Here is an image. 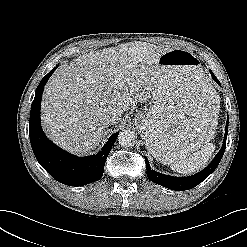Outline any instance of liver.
<instances>
[{"label":"liver","mask_w":247,"mask_h":247,"mask_svg":"<svg viewBox=\"0 0 247 247\" xmlns=\"http://www.w3.org/2000/svg\"><path fill=\"white\" fill-rule=\"evenodd\" d=\"M170 50L128 42L61 65L48 81L41 103L48 137L71 153L89 154L106 135L111 113L121 117L151 98L162 82L157 63Z\"/></svg>","instance_id":"6515ba94"}]
</instances>
